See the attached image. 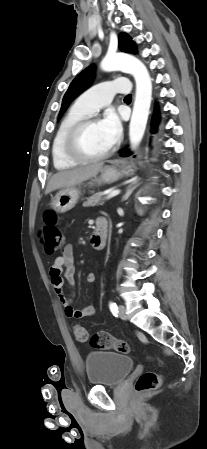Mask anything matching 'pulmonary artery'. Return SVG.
I'll return each mask as SVG.
<instances>
[{
	"instance_id": "pulmonary-artery-1",
	"label": "pulmonary artery",
	"mask_w": 207,
	"mask_h": 449,
	"mask_svg": "<svg viewBox=\"0 0 207 449\" xmlns=\"http://www.w3.org/2000/svg\"><path fill=\"white\" fill-rule=\"evenodd\" d=\"M129 91L130 85L125 79L104 81L85 91L75 104L86 113L92 114L110 104L115 94H127Z\"/></svg>"
}]
</instances>
